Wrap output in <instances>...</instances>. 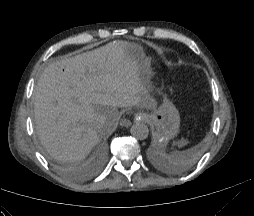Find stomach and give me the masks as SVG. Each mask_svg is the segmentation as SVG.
Returning <instances> with one entry per match:
<instances>
[{
	"label": "stomach",
	"mask_w": 254,
	"mask_h": 216,
	"mask_svg": "<svg viewBox=\"0 0 254 216\" xmlns=\"http://www.w3.org/2000/svg\"><path fill=\"white\" fill-rule=\"evenodd\" d=\"M122 48L131 59L136 72L144 77L149 68V61L142 50L138 46L127 42H122ZM144 117L155 126V136L162 143H167L179 132V112L173 103L166 98L158 109H155L151 114H144Z\"/></svg>",
	"instance_id": "1"
}]
</instances>
